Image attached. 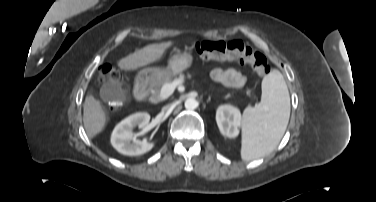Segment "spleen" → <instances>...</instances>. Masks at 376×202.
I'll return each mask as SVG.
<instances>
[{
	"label": "spleen",
	"instance_id": "3e777b00",
	"mask_svg": "<svg viewBox=\"0 0 376 202\" xmlns=\"http://www.w3.org/2000/svg\"><path fill=\"white\" fill-rule=\"evenodd\" d=\"M290 117V97L283 75L273 70L262 80V99L244 110L241 157L250 161L275 149Z\"/></svg>",
	"mask_w": 376,
	"mask_h": 202
}]
</instances>
